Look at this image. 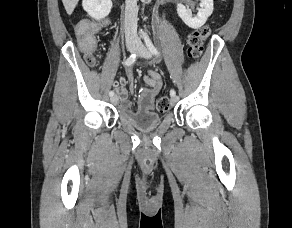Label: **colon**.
<instances>
[{
	"instance_id": "obj_1",
	"label": "colon",
	"mask_w": 292,
	"mask_h": 228,
	"mask_svg": "<svg viewBox=\"0 0 292 228\" xmlns=\"http://www.w3.org/2000/svg\"><path fill=\"white\" fill-rule=\"evenodd\" d=\"M105 22H102L104 24ZM96 25L94 23H81L77 26L76 34L81 49L86 54V61L93 65L96 63ZM210 35V28L203 26L189 34L187 39L188 54L192 59L199 58L203 53L204 42ZM156 108L164 112L169 108V98L161 96L156 101Z\"/></svg>"
}]
</instances>
